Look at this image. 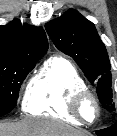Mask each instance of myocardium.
<instances>
[{"mask_svg":"<svg viewBox=\"0 0 117 136\" xmlns=\"http://www.w3.org/2000/svg\"><path fill=\"white\" fill-rule=\"evenodd\" d=\"M88 101L94 105L96 111L95 117L92 120H88L82 111L83 105ZM68 110L72 116L86 124L96 122L101 114V107L98 98L88 89L78 90L71 96L68 104Z\"/></svg>","mask_w":117,"mask_h":136,"instance_id":"myocardium-1","label":"myocardium"}]
</instances>
